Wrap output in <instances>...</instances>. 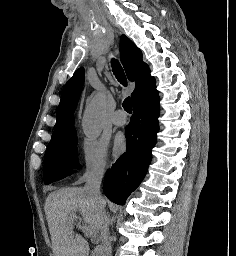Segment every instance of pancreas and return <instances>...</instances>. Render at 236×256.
I'll use <instances>...</instances> for the list:
<instances>
[{"mask_svg": "<svg viewBox=\"0 0 236 256\" xmlns=\"http://www.w3.org/2000/svg\"><path fill=\"white\" fill-rule=\"evenodd\" d=\"M93 240H94V242H99L100 239H99V237H94Z\"/></svg>", "mask_w": 236, "mask_h": 256, "instance_id": "cf45deb5", "label": "pancreas"}]
</instances>
